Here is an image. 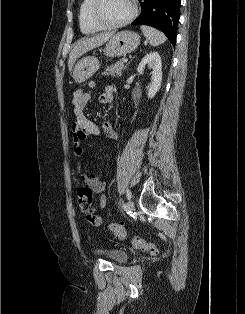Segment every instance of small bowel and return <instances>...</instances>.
<instances>
[{
	"instance_id": "small-bowel-1",
	"label": "small bowel",
	"mask_w": 245,
	"mask_h": 314,
	"mask_svg": "<svg viewBox=\"0 0 245 314\" xmlns=\"http://www.w3.org/2000/svg\"><path fill=\"white\" fill-rule=\"evenodd\" d=\"M96 87V83L91 81L88 84V90L76 89L72 97V114L74 118L73 131V155L75 158L83 154V143L88 137H108L117 140L119 138L118 132L110 124H103L99 126L95 122L89 120L85 114L84 109L91 98V91ZM114 88L112 85H106L104 91L99 96L100 103L107 104L113 100ZM77 174L85 181L92 190L100 195V207H106V196L104 194L106 183L101 181L95 174H88L79 164H77ZM87 221L92 226H100L103 223V217L97 215L95 211L86 214Z\"/></svg>"
}]
</instances>
